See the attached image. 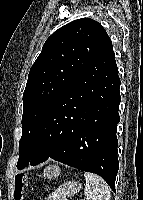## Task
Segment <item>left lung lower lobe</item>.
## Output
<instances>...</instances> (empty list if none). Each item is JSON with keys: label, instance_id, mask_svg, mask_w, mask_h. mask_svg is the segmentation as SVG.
<instances>
[{"label": "left lung lower lobe", "instance_id": "left-lung-lower-lobe-1", "mask_svg": "<svg viewBox=\"0 0 143 200\" xmlns=\"http://www.w3.org/2000/svg\"><path fill=\"white\" fill-rule=\"evenodd\" d=\"M119 89L118 68L110 42L45 114L29 164L37 165L52 158L100 175L115 191L119 168L116 137L120 121Z\"/></svg>", "mask_w": 143, "mask_h": 200}]
</instances>
